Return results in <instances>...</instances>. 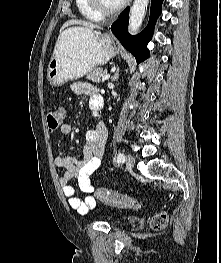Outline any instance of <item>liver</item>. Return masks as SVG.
<instances>
[{"label": "liver", "mask_w": 221, "mask_h": 263, "mask_svg": "<svg viewBox=\"0 0 221 263\" xmlns=\"http://www.w3.org/2000/svg\"><path fill=\"white\" fill-rule=\"evenodd\" d=\"M72 25H79L82 29H87V30H93V29H98L99 26L95 25L93 23H89L87 21H82V20H78V19H71L66 21L63 26L61 27L60 31H63L65 28L72 26Z\"/></svg>", "instance_id": "liver-1"}]
</instances>
